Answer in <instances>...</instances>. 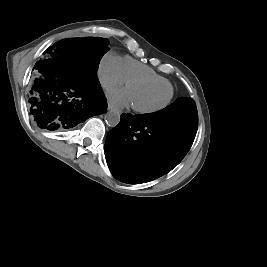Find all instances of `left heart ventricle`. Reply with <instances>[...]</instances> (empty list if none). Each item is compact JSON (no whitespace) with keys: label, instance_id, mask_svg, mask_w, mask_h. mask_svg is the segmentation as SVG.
Returning a JSON list of instances; mask_svg holds the SVG:
<instances>
[{"label":"left heart ventricle","instance_id":"left-heart-ventricle-1","mask_svg":"<svg viewBox=\"0 0 267 267\" xmlns=\"http://www.w3.org/2000/svg\"><path fill=\"white\" fill-rule=\"evenodd\" d=\"M131 104L138 107H153L164 103L170 96V88L153 83H133L127 87Z\"/></svg>","mask_w":267,"mask_h":267}]
</instances>
